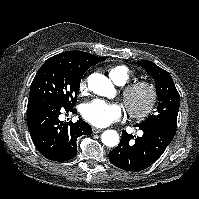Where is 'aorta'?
<instances>
[{
  "label": "aorta",
  "instance_id": "aorta-1",
  "mask_svg": "<svg viewBox=\"0 0 199 199\" xmlns=\"http://www.w3.org/2000/svg\"><path fill=\"white\" fill-rule=\"evenodd\" d=\"M89 88L97 95L110 97L114 92V87L110 79L106 76L94 73L88 78ZM104 145L114 147L119 144V134L114 130H106L101 135Z\"/></svg>",
  "mask_w": 199,
  "mask_h": 199
}]
</instances>
